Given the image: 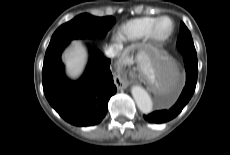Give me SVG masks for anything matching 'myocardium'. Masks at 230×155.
Instances as JSON below:
<instances>
[{"label":"myocardium","instance_id":"f54148a6","mask_svg":"<svg viewBox=\"0 0 230 155\" xmlns=\"http://www.w3.org/2000/svg\"><path fill=\"white\" fill-rule=\"evenodd\" d=\"M165 20H168L170 22L171 28L167 33L162 34L159 31V26ZM174 31H175V23H174L173 19L169 16H160L153 23L148 36L153 41L162 43V42H166L167 40H169L172 37V35L174 34Z\"/></svg>","mask_w":230,"mask_h":155}]
</instances>
